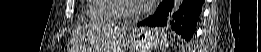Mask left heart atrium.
Instances as JSON below:
<instances>
[{
	"label": "left heart atrium",
	"mask_w": 261,
	"mask_h": 52,
	"mask_svg": "<svg viewBox=\"0 0 261 52\" xmlns=\"http://www.w3.org/2000/svg\"><path fill=\"white\" fill-rule=\"evenodd\" d=\"M138 5L140 4L144 8H148L153 4H156V0H137L135 1Z\"/></svg>",
	"instance_id": "left-heart-atrium-1"
}]
</instances>
